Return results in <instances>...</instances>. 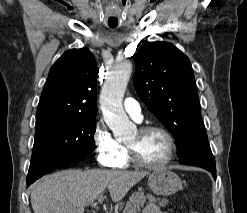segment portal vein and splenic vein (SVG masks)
Returning a JSON list of instances; mask_svg holds the SVG:
<instances>
[{
  "instance_id": "obj_1",
  "label": "portal vein and splenic vein",
  "mask_w": 247,
  "mask_h": 213,
  "mask_svg": "<svg viewBox=\"0 0 247 213\" xmlns=\"http://www.w3.org/2000/svg\"><path fill=\"white\" fill-rule=\"evenodd\" d=\"M103 199H104V196H103V194H102V195L99 196L98 202H99V203H102V202H103Z\"/></svg>"
}]
</instances>
